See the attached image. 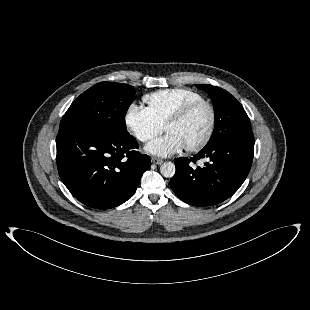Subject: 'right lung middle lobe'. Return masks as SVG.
I'll list each match as a JSON object with an SVG mask.
<instances>
[{
	"label": "right lung middle lobe",
	"instance_id": "1",
	"mask_svg": "<svg viewBox=\"0 0 310 310\" xmlns=\"http://www.w3.org/2000/svg\"><path fill=\"white\" fill-rule=\"evenodd\" d=\"M128 84L100 82L82 93L64 114L59 130L87 128L113 137L127 136L125 115L135 98Z\"/></svg>",
	"mask_w": 310,
	"mask_h": 310
}]
</instances>
